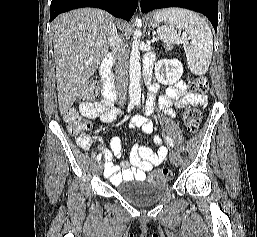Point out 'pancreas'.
Returning a JSON list of instances; mask_svg holds the SVG:
<instances>
[{
    "instance_id": "obj_1",
    "label": "pancreas",
    "mask_w": 257,
    "mask_h": 237,
    "mask_svg": "<svg viewBox=\"0 0 257 237\" xmlns=\"http://www.w3.org/2000/svg\"><path fill=\"white\" fill-rule=\"evenodd\" d=\"M166 48H167V49H170V46L167 45Z\"/></svg>"
}]
</instances>
